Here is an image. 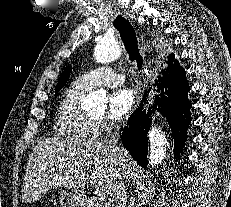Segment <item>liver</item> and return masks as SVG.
I'll return each mask as SVG.
<instances>
[{
    "label": "liver",
    "mask_w": 231,
    "mask_h": 207,
    "mask_svg": "<svg viewBox=\"0 0 231 207\" xmlns=\"http://www.w3.org/2000/svg\"><path fill=\"white\" fill-rule=\"evenodd\" d=\"M123 176L125 183L133 176L132 163L126 153ZM119 159L107 144L98 140H64L47 138L40 141L29 155L22 199L32 203L51 188L95 189L113 196L118 188Z\"/></svg>",
    "instance_id": "1"
}]
</instances>
